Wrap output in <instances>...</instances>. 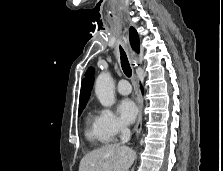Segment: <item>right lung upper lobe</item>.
Instances as JSON below:
<instances>
[{
	"mask_svg": "<svg viewBox=\"0 0 223 171\" xmlns=\"http://www.w3.org/2000/svg\"><path fill=\"white\" fill-rule=\"evenodd\" d=\"M129 38L132 48L138 53L140 48L139 37L136 30L133 27L130 28ZM91 73H94L93 68L88 69V71L85 73V78L82 80L79 107L86 106V103L91 94V90L94 83V77L91 75Z\"/></svg>",
	"mask_w": 223,
	"mask_h": 171,
	"instance_id": "cb5924a9",
	"label": "right lung upper lobe"
}]
</instances>
